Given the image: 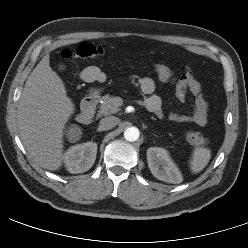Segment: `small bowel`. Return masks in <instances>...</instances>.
<instances>
[{
    "label": "small bowel",
    "mask_w": 248,
    "mask_h": 248,
    "mask_svg": "<svg viewBox=\"0 0 248 248\" xmlns=\"http://www.w3.org/2000/svg\"><path fill=\"white\" fill-rule=\"evenodd\" d=\"M80 77L87 83H103L106 79L104 72L96 66L86 67L81 72ZM172 83L174 84L175 96L179 101L184 102L188 92L193 95V113L191 115H184L178 112H171L168 115V119L175 123H193L198 126H204L207 123L209 104L202 94L199 81L189 70H186L178 75ZM155 88L156 84L152 78L144 77L140 80V89L145 94L144 103L146 109L159 118H163L162 101L155 93Z\"/></svg>",
    "instance_id": "obj_1"
}]
</instances>
